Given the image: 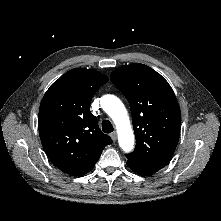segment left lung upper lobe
Listing matches in <instances>:
<instances>
[{"mask_svg":"<svg viewBox=\"0 0 221 221\" xmlns=\"http://www.w3.org/2000/svg\"><path fill=\"white\" fill-rule=\"evenodd\" d=\"M110 79L127 98L132 113L136 147L127 158L160 170L170 161L180 135L181 113L172 88L140 63L116 69Z\"/></svg>","mask_w":221,"mask_h":221,"instance_id":"left-lung-upper-lobe-1","label":"left lung upper lobe"}]
</instances>
